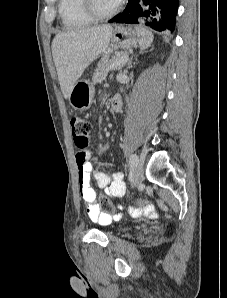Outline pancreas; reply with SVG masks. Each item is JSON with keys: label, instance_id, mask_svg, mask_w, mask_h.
<instances>
[{"label": "pancreas", "instance_id": "cf45deb5", "mask_svg": "<svg viewBox=\"0 0 227 298\" xmlns=\"http://www.w3.org/2000/svg\"><path fill=\"white\" fill-rule=\"evenodd\" d=\"M124 55H127V53H118L111 58L109 56H103L99 61L97 68L93 74V77H92L93 84L95 85L103 81L109 70H121L122 67L125 65L124 63L117 65L113 69H110V67L115 61L119 60Z\"/></svg>", "mask_w": 227, "mask_h": 298}]
</instances>
